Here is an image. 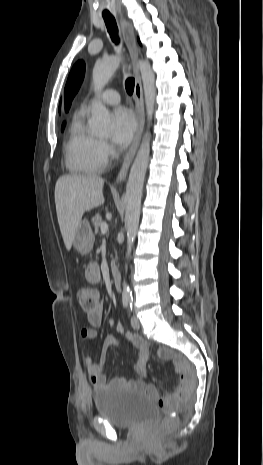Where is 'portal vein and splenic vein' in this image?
Segmentation results:
<instances>
[{
	"label": "portal vein and splenic vein",
	"instance_id": "1",
	"mask_svg": "<svg viewBox=\"0 0 263 465\" xmlns=\"http://www.w3.org/2000/svg\"><path fill=\"white\" fill-rule=\"evenodd\" d=\"M107 230H108V225L105 222H103L101 224V233L105 235L107 233Z\"/></svg>",
	"mask_w": 263,
	"mask_h": 465
}]
</instances>
